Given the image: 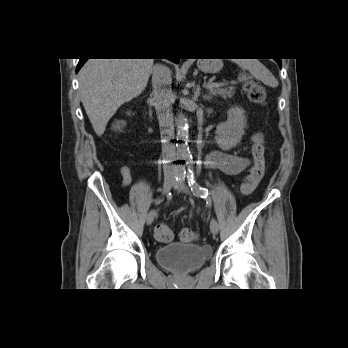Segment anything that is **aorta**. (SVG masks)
<instances>
[{
    "label": "aorta",
    "instance_id": "762f6f07",
    "mask_svg": "<svg viewBox=\"0 0 348 348\" xmlns=\"http://www.w3.org/2000/svg\"><path fill=\"white\" fill-rule=\"evenodd\" d=\"M177 140V154L182 158H189V125L188 119L182 111L177 115Z\"/></svg>",
    "mask_w": 348,
    "mask_h": 348
}]
</instances>
